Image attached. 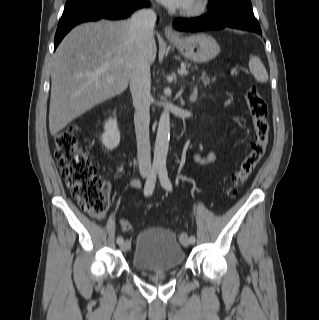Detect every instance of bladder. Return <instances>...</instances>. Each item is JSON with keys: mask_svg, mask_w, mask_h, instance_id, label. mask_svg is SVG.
Returning <instances> with one entry per match:
<instances>
[{"mask_svg": "<svg viewBox=\"0 0 319 320\" xmlns=\"http://www.w3.org/2000/svg\"><path fill=\"white\" fill-rule=\"evenodd\" d=\"M186 252L176 235L165 228H149L136 238L130 264L136 271L173 270L181 267Z\"/></svg>", "mask_w": 319, "mask_h": 320, "instance_id": "1", "label": "bladder"}]
</instances>
